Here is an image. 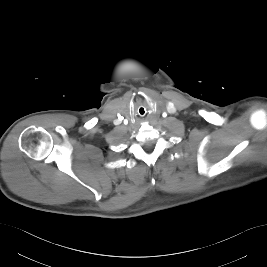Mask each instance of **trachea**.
I'll list each match as a JSON object with an SVG mask.
<instances>
[{"label": "trachea", "instance_id": "trachea-1", "mask_svg": "<svg viewBox=\"0 0 267 267\" xmlns=\"http://www.w3.org/2000/svg\"><path fill=\"white\" fill-rule=\"evenodd\" d=\"M137 113L140 117H144L147 114L144 107H139Z\"/></svg>", "mask_w": 267, "mask_h": 267}]
</instances>
